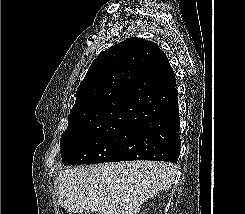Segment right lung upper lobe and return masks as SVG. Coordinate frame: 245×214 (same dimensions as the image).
I'll return each instance as SVG.
<instances>
[{
  "mask_svg": "<svg viewBox=\"0 0 245 214\" xmlns=\"http://www.w3.org/2000/svg\"><path fill=\"white\" fill-rule=\"evenodd\" d=\"M168 64L156 43L137 37L101 52L77 89L66 130L132 123L141 112L139 97L165 86Z\"/></svg>",
  "mask_w": 245,
  "mask_h": 214,
  "instance_id": "obj_1",
  "label": "right lung upper lobe"
}]
</instances>
